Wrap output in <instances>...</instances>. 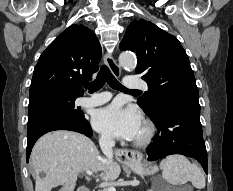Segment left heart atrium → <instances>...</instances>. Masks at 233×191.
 <instances>
[{
	"instance_id": "obj_1",
	"label": "left heart atrium",
	"mask_w": 233,
	"mask_h": 191,
	"mask_svg": "<svg viewBox=\"0 0 233 191\" xmlns=\"http://www.w3.org/2000/svg\"><path fill=\"white\" fill-rule=\"evenodd\" d=\"M93 127L110 137L133 140L143 123L140 113L132 107H123L115 102L98 109L92 116Z\"/></svg>"
}]
</instances>
